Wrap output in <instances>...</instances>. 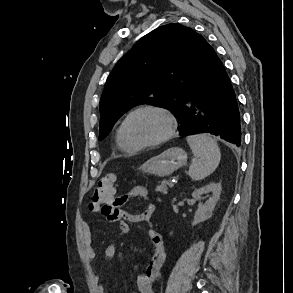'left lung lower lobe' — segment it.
Returning a JSON list of instances; mask_svg holds the SVG:
<instances>
[{"mask_svg":"<svg viewBox=\"0 0 293 293\" xmlns=\"http://www.w3.org/2000/svg\"><path fill=\"white\" fill-rule=\"evenodd\" d=\"M180 135L209 133L241 144L240 113L230 79L212 53L204 79L181 102Z\"/></svg>","mask_w":293,"mask_h":293,"instance_id":"obj_1","label":"left lung lower lobe"}]
</instances>
